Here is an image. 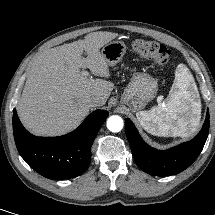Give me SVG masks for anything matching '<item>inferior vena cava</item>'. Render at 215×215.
<instances>
[{"mask_svg": "<svg viewBox=\"0 0 215 215\" xmlns=\"http://www.w3.org/2000/svg\"><path fill=\"white\" fill-rule=\"evenodd\" d=\"M87 104L90 108L98 107L102 105V101L98 97H90L87 99Z\"/></svg>", "mask_w": 215, "mask_h": 215, "instance_id": "obj_1", "label": "inferior vena cava"}]
</instances>
